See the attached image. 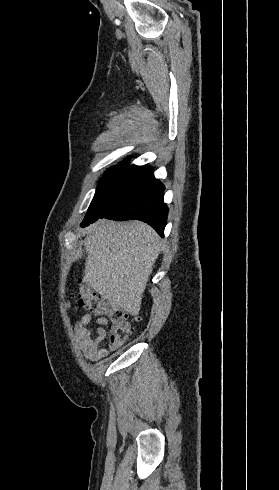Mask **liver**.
I'll return each instance as SVG.
<instances>
[{
    "instance_id": "obj_1",
    "label": "liver",
    "mask_w": 279,
    "mask_h": 490,
    "mask_svg": "<svg viewBox=\"0 0 279 490\" xmlns=\"http://www.w3.org/2000/svg\"><path fill=\"white\" fill-rule=\"evenodd\" d=\"M84 240L83 282L110 304L138 316L141 300L160 254V238L144 222L98 220Z\"/></svg>"
}]
</instances>
